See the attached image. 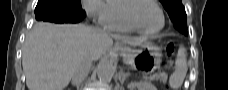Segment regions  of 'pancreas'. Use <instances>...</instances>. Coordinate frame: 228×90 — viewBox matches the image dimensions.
I'll return each mask as SVG.
<instances>
[{"mask_svg":"<svg viewBox=\"0 0 228 90\" xmlns=\"http://www.w3.org/2000/svg\"><path fill=\"white\" fill-rule=\"evenodd\" d=\"M160 79L161 78V76H153L151 79Z\"/></svg>","mask_w":228,"mask_h":90,"instance_id":"cf45deb5","label":"pancreas"}]
</instances>
